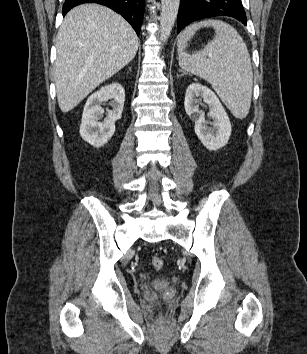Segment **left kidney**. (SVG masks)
Here are the masks:
<instances>
[{"label": "left kidney", "mask_w": 307, "mask_h": 354, "mask_svg": "<svg viewBox=\"0 0 307 354\" xmlns=\"http://www.w3.org/2000/svg\"><path fill=\"white\" fill-rule=\"evenodd\" d=\"M202 98L209 106L208 115L213 120L208 127L205 114L199 109V99ZM184 107L187 115L195 121V133L202 144L209 150L224 147L231 135L229 117L215 93L206 86L193 83L188 86L185 94Z\"/></svg>", "instance_id": "left-kidney-1"}]
</instances>
